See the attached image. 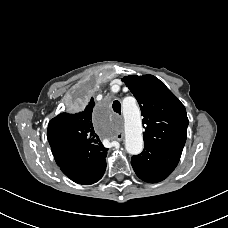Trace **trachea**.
<instances>
[{"instance_id": "obj_1", "label": "trachea", "mask_w": 228, "mask_h": 228, "mask_svg": "<svg viewBox=\"0 0 228 228\" xmlns=\"http://www.w3.org/2000/svg\"><path fill=\"white\" fill-rule=\"evenodd\" d=\"M112 108L114 110V112L118 113V114H121V104L119 101H114L113 102V105H112Z\"/></svg>"}]
</instances>
